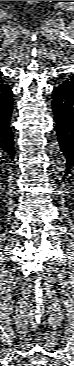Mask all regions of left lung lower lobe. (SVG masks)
Wrapping results in <instances>:
<instances>
[{
    "mask_svg": "<svg viewBox=\"0 0 74 366\" xmlns=\"http://www.w3.org/2000/svg\"><path fill=\"white\" fill-rule=\"evenodd\" d=\"M52 109L56 119V134L65 156L63 178L74 172V73L53 90Z\"/></svg>",
    "mask_w": 74,
    "mask_h": 366,
    "instance_id": "1",
    "label": "left lung lower lobe"
}]
</instances>
